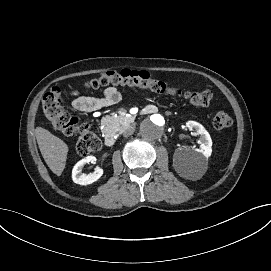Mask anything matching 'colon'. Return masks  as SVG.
<instances>
[{
	"label": "colon",
	"instance_id": "1",
	"mask_svg": "<svg viewBox=\"0 0 271 271\" xmlns=\"http://www.w3.org/2000/svg\"><path fill=\"white\" fill-rule=\"evenodd\" d=\"M91 88L108 85L135 86L157 94L179 96L194 106L206 107L213 98L210 90L192 91L175 88L165 82L153 78L146 71L124 69L120 72H106L91 79L86 84ZM44 116L56 132L73 135L78 134L76 151L80 156H87L100 147V140L89 125L80 124L78 119L67 113L63 107L62 92L53 88L47 92L41 101ZM232 118L226 112H218L213 119V126L217 131H224L232 126Z\"/></svg>",
	"mask_w": 271,
	"mask_h": 271
}]
</instances>
